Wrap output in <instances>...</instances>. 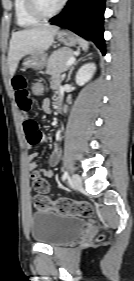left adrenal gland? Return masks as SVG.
<instances>
[{
	"label": "left adrenal gland",
	"instance_id": "obj_1",
	"mask_svg": "<svg viewBox=\"0 0 134 281\" xmlns=\"http://www.w3.org/2000/svg\"><path fill=\"white\" fill-rule=\"evenodd\" d=\"M91 54H89L88 56H90ZM84 58L83 57H81L80 59H78V60H76L75 61V63L71 66V68H70V71H69V73H68V77H67V82L70 80V77H71V74H72V72H73V70H74V66L79 62V61H81V60H83Z\"/></svg>",
	"mask_w": 134,
	"mask_h": 281
}]
</instances>
